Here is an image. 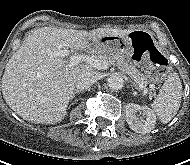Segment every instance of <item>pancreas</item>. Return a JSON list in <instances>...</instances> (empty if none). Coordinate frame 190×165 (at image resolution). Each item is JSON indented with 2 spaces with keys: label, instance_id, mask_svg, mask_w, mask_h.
Returning <instances> with one entry per match:
<instances>
[{
  "label": "pancreas",
  "instance_id": "pancreas-1",
  "mask_svg": "<svg viewBox=\"0 0 190 165\" xmlns=\"http://www.w3.org/2000/svg\"><path fill=\"white\" fill-rule=\"evenodd\" d=\"M93 57L99 60H104L108 62L109 64L118 66V68L123 73L129 75L131 79L138 85H143L147 83V79L145 78L144 74L140 73L139 70H137L134 66L125 62L122 59L121 55L106 56V55L96 52L94 53Z\"/></svg>",
  "mask_w": 190,
  "mask_h": 165
}]
</instances>
